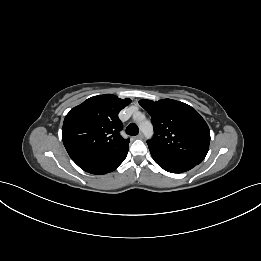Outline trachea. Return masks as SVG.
Returning a JSON list of instances; mask_svg holds the SVG:
<instances>
[{
	"mask_svg": "<svg viewBox=\"0 0 261 261\" xmlns=\"http://www.w3.org/2000/svg\"><path fill=\"white\" fill-rule=\"evenodd\" d=\"M126 133L135 136L139 133V129L135 124H129L126 128Z\"/></svg>",
	"mask_w": 261,
	"mask_h": 261,
	"instance_id": "obj_1",
	"label": "trachea"
}]
</instances>
